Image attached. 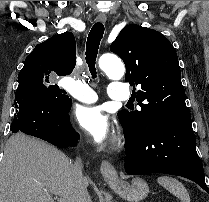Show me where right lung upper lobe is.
<instances>
[{
  "label": "right lung upper lobe",
  "instance_id": "cb5924a9",
  "mask_svg": "<svg viewBox=\"0 0 209 202\" xmlns=\"http://www.w3.org/2000/svg\"><path fill=\"white\" fill-rule=\"evenodd\" d=\"M76 65V43L71 32L54 35L38 44L26 57L19 75L47 74L58 76L70 74ZM18 75V76H19Z\"/></svg>",
  "mask_w": 209,
  "mask_h": 202
}]
</instances>
